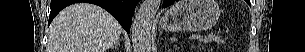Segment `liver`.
<instances>
[{"instance_id":"6515ba94","label":"liver","mask_w":305,"mask_h":52,"mask_svg":"<svg viewBox=\"0 0 305 52\" xmlns=\"http://www.w3.org/2000/svg\"><path fill=\"white\" fill-rule=\"evenodd\" d=\"M122 27L103 8L77 3L63 9L49 29V52H106L120 40Z\"/></svg>"}]
</instances>
